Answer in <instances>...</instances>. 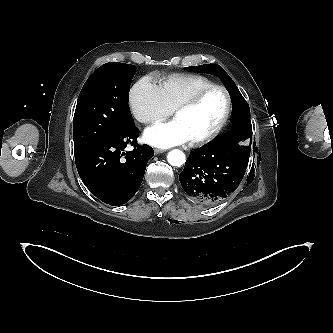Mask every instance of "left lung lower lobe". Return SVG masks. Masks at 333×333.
Here are the masks:
<instances>
[{
    "label": "left lung lower lobe",
    "instance_id": "0a47b994",
    "mask_svg": "<svg viewBox=\"0 0 333 333\" xmlns=\"http://www.w3.org/2000/svg\"><path fill=\"white\" fill-rule=\"evenodd\" d=\"M248 160L231 146L211 143L190 153L179 175L180 183L193 201L205 207L214 206L237 189Z\"/></svg>",
    "mask_w": 333,
    "mask_h": 333
}]
</instances>
